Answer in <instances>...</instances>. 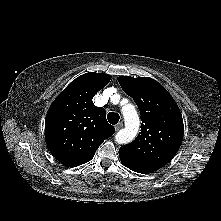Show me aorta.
Returning a JSON list of instances; mask_svg holds the SVG:
<instances>
[{
    "label": "aorta",
    "instance_id": "obj_1",
    "mask_svg": "<svg viewBox=\"0 0 221 221\" xmlns=\"http://www.w3.org/2000/svg\"><path fill=\"white\" fill-rule=\"evenodd\" d=\"M123 116L125 122V128L117 132L115 141L119 144H127L133 141L136 137L139 127L140 119L133 106L123 108Z\"/></svg>",
    "mask_w": 221,
    "mask_h": 221
}]
</instances>
